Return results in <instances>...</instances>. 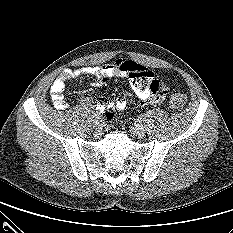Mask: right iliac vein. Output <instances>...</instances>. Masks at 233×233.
I'll list each match as a JSON object with an SVG mask.
<instances>
[{
    "label": "right iliac vein",
    "instance_id": "right-iliac-vein-1",
    "mask_svg": "<svg viewBox=\"0 0 233 233\" xmlns=\"http://www.w3.org/2000/svg\"><path fill=\"white\" fill-rule=\"evenodd\" d=\"M95 129L97 132H100L103 129L102 120L95 121Z\"/></svg>",
    "mask_w": 233,
    "mask_h": 233
}]
</instances>
